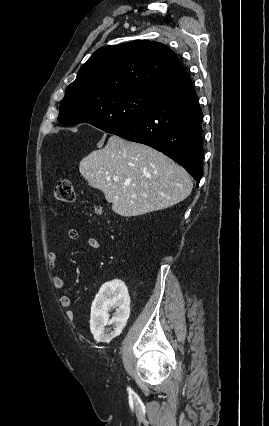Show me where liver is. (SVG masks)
Returning a JSON list of instances; mask_svg holds the SVG:
<instances>
[{"label":"liver","mask_w":269,"mask_h":426,"mask_svg":"<svg viewBox=\"0 0 269 426\" xmlns=\"http://www.w3.org/2000/svg\"><path fill=\"white\" fill-rule=\"evenodd\" d=\"M79 171L91 187L103 191L112 210L125 217L174 206L193 188L188 172L172 159L116 135L103 149L84 157Z\"/></svg>","instance_id":"1"}]
</instances>
